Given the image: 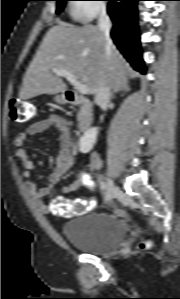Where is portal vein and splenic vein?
<instances>
[{"instance_id":"18ae733b","label":"portal vein and splenic vein","mask_w":180,"mask_h":299,"mask_svg":"<svg viewBox=\"0 0 180 299\" xmlns=\"http://www.w3.org/2000/svg\"><path fill=\"white\" fill-rule=\"evenodd\" d=\"M52 72L60 77H65L74 87L75 89L81 93V94H87L89 93L88 87L80 82L75 75H73L71 72L66 70H60L56 68H52Z\"/></svg>"}]
</instances>
